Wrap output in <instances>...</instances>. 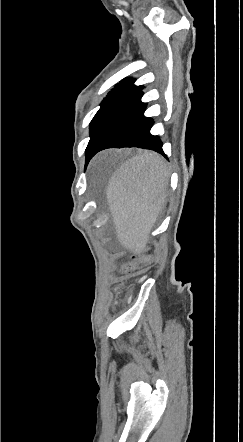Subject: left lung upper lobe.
<instances>
[{"instance_id":"1","label":"left lung upper lobe","mask_w":243,"mask_h":442,"mask_svg":"<svg viewBox=\"0 0 243 442\" xmlns=\"http://www.w3.org/2000/svg\"><path fill=\"white\" fill-rule=\"evenodd\" d=\"M134 82L135 80L132 78L123 79L120 84L109 92L107 97L102 101L100 109L90 123V136H92L94 130L105 114L126 94L138 87L134 85ZM85 166H87V163Z\"/></svg>"}]
</instances>
